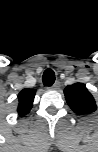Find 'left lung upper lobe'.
<instances>
[{"instance_id": "1", "label": "left lung upper lobe", "mask_w": 98, "mask_h": 152, "mask_svg": "<svg viewBox=\"0 0 98 152\" xmlns=\"http://www.w3.org/2000/svg\"><path fill=\"white\" fill-rule=\"evenodd\" d=\"M64 94L70 108L79 115H87L97 110L94 97L82 83L67 86Z\"/></svg>"}]
</instances>
